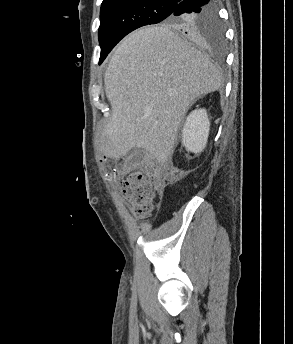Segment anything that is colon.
I'll list each match as a JSON object with an SVG mask.
<instances>
[{
	"mask_svg": "<svg viewBox=\"0 0 293 344\" xmlns=\"http://www.w3.org/2000/svg\"><path fill=\"white\" fill-rule=\"evenodd\" d=\"M157 179L141 172L131 173L122 184V192L132 211L139 217L150 216L157 201Z\"/></svg>",
	"mask_w": 293,
	"mask_h": 344,
	"instance_id": "obj_1",
	"label": "colon"
}]
</instances>
